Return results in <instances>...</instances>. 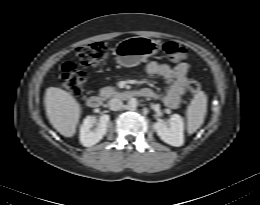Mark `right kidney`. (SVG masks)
Here are the masks:
<instances>
[{
  "mask_svg": "<svg viewBox=\"0 0 260 205\" xmlns=\"http://www.w3.org/2000/svg\"><path fill=\"white\" fill-rule=\"evenodd\" d=\"M109 116L103 115L99 119L98 127L92 130L94 118L87 116L80 128V142L85 147H91L97 144L107 132Z\"/></svg>",
  "mask_w": 260,
  "mask_h": 205,
  "instance_id": "ca27d5eb",
  "label": "right kidney"
}]
</instances>
